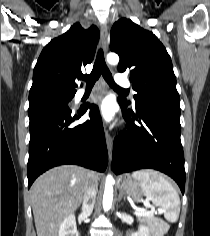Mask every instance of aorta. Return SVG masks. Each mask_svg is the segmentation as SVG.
<instances>
[{"instance_id":"obj_1","label":"aorta","mask_w":210,"mask_h":236,"mask_svg":"<svg viewBox=\"0 0 210 236\" xmlns=\"http://www.w3.org/2000/svg\"><path fill=\"white\" fill-rule=\"evenodd\" d=\"M107 61L111 65H117L119 62V56L116 53H109L107 55ZM113 183L114 179L111 175L106 177L105 189L103 195V208L108 211L112 207L113 201Z\"/></svg>"}]
</instances>
